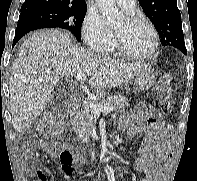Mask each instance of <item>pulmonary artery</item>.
Segmentation results:
<instances>
[{"label": "pulmonary artery", "mask_w": 197, "mask_h": 181, "mask_svg": "<svg viewBox=\"0 0 197 181\" xmlns=\"http://www.w3.org/2000/svg\"><path fill=\"white\" fill-rule=\"evenodd\" d=\"M115 1L126 12H132L136 6L135 0H115Z\"/></svg>", "instance_id": "1"}]
</instances>
